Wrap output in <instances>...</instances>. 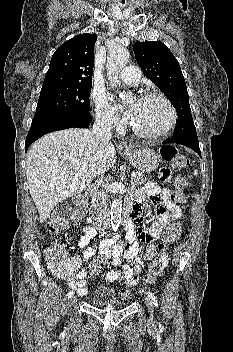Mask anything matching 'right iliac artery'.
Masks as SVG:
<instances>
[{"label": "right iliac artery", "mask_w": 233, "mask_h": 352, "mask_svg": "<svg viewBox=\"0 0 233 352\" xmlns=\"http://www.w3.org/2000/svg\"><path fill=\"white\" fill-rule=\"evenodd\" d=\"M73 295H74V291H73V290H70V291L68 292V298L72 297Z\"/></svg>", "instance_id": "obj_1"}]
</instances>
